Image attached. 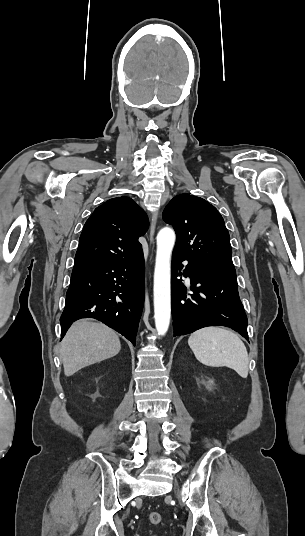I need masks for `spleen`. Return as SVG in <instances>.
Returning <instances> with one entry per match:
<instances>
[{
  "instance_id": "1",
  "label": "spleen",
  "mask_w": 305,
  "mask_h": 536,
  "mask_svg": "<svg viewBox=\"0 0 305 536\" xmlns=\"http://www.w3.org/2000/svg\"><path fill=\"white\" fill-rule=\"evenodd\" d=\"M195 358L204 366L235 370L241 378L249 372L248 352L240 338L225 328H202L188 340Z\"/></svg>"
}]
</instances>
